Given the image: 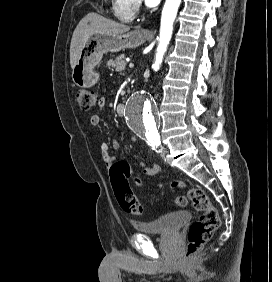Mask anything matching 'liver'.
Listing matches in <instances>:
<instances>
[{
    "label": "liver",
    "instance_id": "6515ba94",
    "mask_svg": "<svg viewBox=\"0 0 272 282\" xmlns=\"http://www.w3.org/2000/svg\"><path fill=\"white\" fill-rule=\"evenodd\" d=\"M129 30V26L105 18L97 13L87 14L78 23L72 35L70 45L71 68L75 67L83 47L92 35L98 33L123 34Z\"/></svg>",
    "mask_w": 272,
    "mask_h": 282
}]
</instances>
